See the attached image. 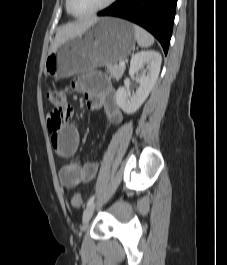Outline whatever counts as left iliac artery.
<instances>
[{
    "instance_id": "44dca946",
    "label": "left iliac artery",
    "mask_w": 227,
    "mask_h": 265,
    "mask_svg": "<svg viewBox=\"0 0 227 265\" xmlns=\"http://www.w3.org/2000/svg\"><path fill=\"white\" fill-rule=\"evenodd\" d=\"M95 196H91L87 202V206L91 205L94 202Z\"/></svg>"
}]
</instances>
